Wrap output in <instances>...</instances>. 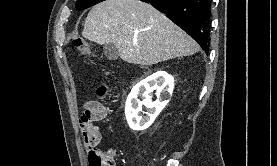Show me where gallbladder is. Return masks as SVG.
Instances as JSON below:
<instances>
[{
	"mask_svg": "<svg viewBox=\"0 0 277 166\" xmlns=\"http://www.w3.org/2000/svg\"><path fill=\"white\" fill-rule=\"evenodd\" d=\"M104 55L109 60H117L119 57L118 49L113 43H108L103 46Z\"/></svg>",
	"mask_w": 277,
	"mask_h": 166,
	"instance_id": "1",
	"label": "gallbladder"
}]
</instances>
